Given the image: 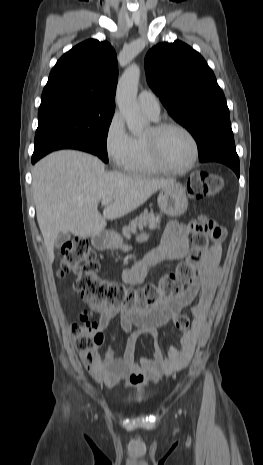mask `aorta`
<instances>
[{"instance_id": "762f6f07", "label": "aorta", "mask_w": 263, "mask_h": 465, "mask_svg": "<svg viewBox=\"0 0 263 465\" xmlns=\"http://www.w3.org/2000/svg\"><path fill=\"white\" fill-rule=\"evenodd\" d=\"M139 78L140 68L136 64L130 65L119 79L116 91L117 105L132 133L141 132L146 125L137 103Z\"/></svg>"}]
</instances>
